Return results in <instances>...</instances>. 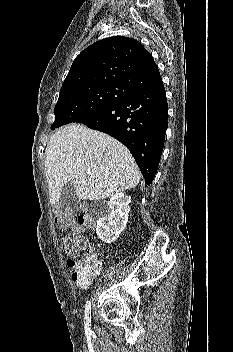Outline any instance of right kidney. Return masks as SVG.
Here are the masks:
<instances>
[{"instance_id":"obj_1","label":"right kidney","mask_w":233,"mask_h":352,"mask_svg":"<svg viewBox=\"0 0 233 352\" xmlns=\"http://www.w3.org/2000/svg\"><path fill=\"white\" fill-rule=\"evenodd\" d=\"M131 197L123 192L113 195L109 202V209L97 221L96 234L105 243L114 242L126 227L128 221Z\"/></svg>"}]
</instances>
